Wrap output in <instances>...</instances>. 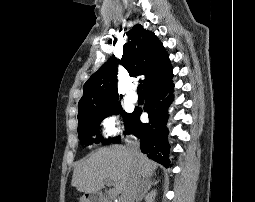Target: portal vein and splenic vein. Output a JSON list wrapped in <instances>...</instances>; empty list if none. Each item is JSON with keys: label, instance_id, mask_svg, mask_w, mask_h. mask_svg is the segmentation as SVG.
I'll list each match as a JSON object with an SVG mask.
<instances>
[{"label": "portal vein and splenic vein", "instance_id": "portal-vein-and-splenic-vein-1", "mask_svg": "<svg viewBox=\"0 0 255 202\" xmlns=\"http://www.w3.org/2000/svg\"><path fill=\"white\" fill-rule=\"evenodd\" d=\"M106 182H107V185H111L112 184L110 180H108ZM111 194L115 195V191L113 189L111 190Z\"/></svg>", "mask_w": 255, "mask_h": 202}]
</instances>
